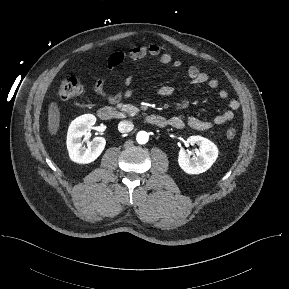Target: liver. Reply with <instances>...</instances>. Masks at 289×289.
Wrapping results in <instances>:
<instances>
[{
    "label": "liver",
    "instance_id": "obj_1",
    "mask_svg": "<svg viewBox=\"0 0 289 289\" xmlns=\"http://www.w3.org/2000/svg\"><path fill=\"white\" fill-rule=\"evenodd\" d=\"M60 110L56 102H51L48 108V132L51 136L57 134L60 126Z\"/></svg>",
    "mask_w": 289,
    "mask_h": 289
}]
</instances>
